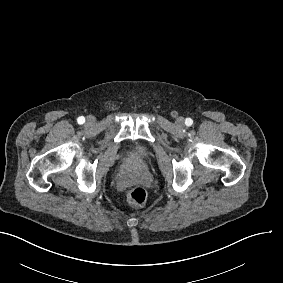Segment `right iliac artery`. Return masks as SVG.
Masks as SVG:
<instances>
[{
	"label": "right iliac artery",
	"instance_id": "82829eb1",
	"mask_svg": "<svg viewBox=\"0 0 283 283\" xmlns=\"http://www.w3.org/2000/svg\"><path fill=\"white\" fill-rule=\"evenodd\" d=\"M77 122L78 124H83L85 122V118L83 116H80L78 119H77Z\"/></svg>",
	"mask_w": 283,
	"mask_h": 283
}]
</instances>
